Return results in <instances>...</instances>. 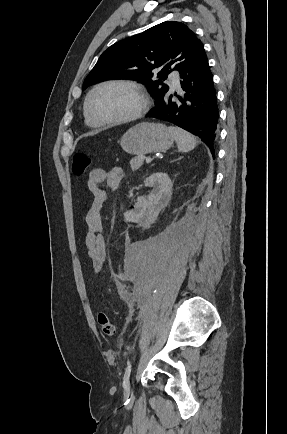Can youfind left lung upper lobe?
<instances>
[{
  "label": "left lung upper lobe",
  "mask_w": 287,
  "mask_h": 434,
  "mask_svg": "<svg viewBox=\"0 0 287 434\" xmlns=\"http://www.w3.org/2000/svg\"><path fill=\"white\" fill-rule=\"evenodd\" d=\"M204 53L202 42L186 25L166 21L105 50L86 77L83 89L111 79L138 80L148 85L157 103L169 90L163 83L167 75L172 70L180 71ZM156 68L160 69L159 79L152 73Z\"/></svg>",
  "instance_id": "1"
}]
</instances>
